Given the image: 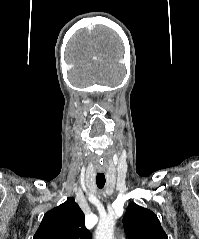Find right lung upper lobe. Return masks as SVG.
<instances>
[{"label": "right lung upper lobe", "mask_w": 199, "mask_h": 239, "mask_svg": "<svg viewBox=\"0 0 199 239\" xmlns=\"http://www.w3.org/2000/svg\"><path fill=\"white\" fill-rule=\"evenodd\" d=\"M85 216L73 198L48 211L33 239H91Z\"/></svg>", "instance_id": "obj_1"}]
</instances>
